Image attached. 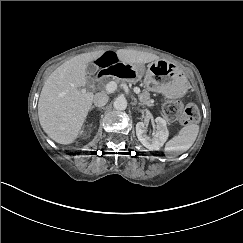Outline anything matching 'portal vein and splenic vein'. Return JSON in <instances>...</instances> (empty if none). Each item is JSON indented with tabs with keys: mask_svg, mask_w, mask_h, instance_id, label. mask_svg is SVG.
Instances as JSON below:
<instances>
[{
	"mask_svg": "<svg viewBox=\"0 0 243 243\" xmlns=\"http://www.w3.org/2000/svg\"><path fill=\"white\" fill-rule=\"evenodd\" d=\"M116 87H117V84H116L114 81H110V82L106 83V84L103 86V89H104L106 92H108V93H112V92H114V91L116 90ZM81 92H82V93H85V92H86V88H82V89H81ZM134 92H135L136 94L141 93L140 89L137 88V87L134 88Z\"/></svg>",
	"mask_w": 243,
	"mask_h": 243,
	"instance_id": "1",
	"label": "portal vein and splenic vein"
}]
</instances>
